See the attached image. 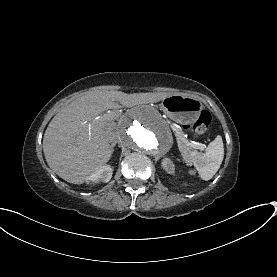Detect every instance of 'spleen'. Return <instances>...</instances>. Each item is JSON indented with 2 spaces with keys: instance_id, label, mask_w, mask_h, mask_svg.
I'll return each mask as SVG.
<instances>
[{
  "instance_id": "obj_1",
  "label": "spleen",
  "mask_w": 277,
  "mask_h": 277,
  "mask_svg": "<svg viewBox=\"0 0 277 277\" xmlns=\"http://www.w3.org/2000/svg\"><path fill=\"white\" fill-rule=\"evenodd\" d=\"M191 156L200 177L205 181L210 180L218 171L223 161L224 145L222 137L220 135L216 136L206 148L205 154L193 151Z\"/></svg>"
}]
</instances>
